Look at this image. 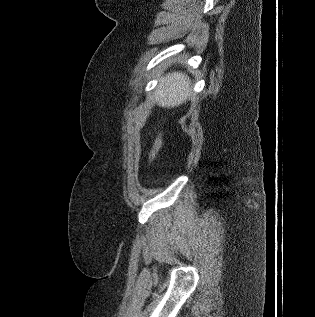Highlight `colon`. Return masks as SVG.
I'll list each match as a JSON object with an SVG mask.
<instances>
[{
	"label": "colon",
	"instance_id": "obj_1",
	"mask_svg": "<svg viewBox=\"0 0 315 317\" xmlns=\"http://www.w3.org/2000/svg\"><path fill=\"white\" fill-rule=\"evenodd\" d=\"M164 142V131H160L157 137L154 140L152 149L148 157V165L151 166L159 155Z\"/></svg>",
	"mask_w": 315,
	"mask_h": 317
}]
</instances>
